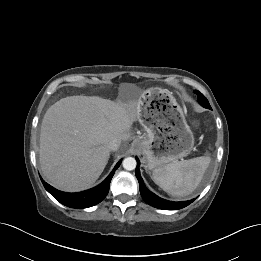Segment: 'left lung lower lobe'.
Returning <instances> with one entry per match:
<instances>
[{
  "label": "left lung lower lobe",
  "mask_w": 261,
  "mask_h": 261,
  "mask_svg": "<svg viewBox=\"0 0 261 261\" xmlns=\"http://www.w3.org/2000/svg\"><path fill=\"white\" fill-rule=\"evenodd\" d=\"M136 160H137L136 177L139 181V189H140L141 196L147 204L155 208L164 209V210H178L188 206L190 203H192L195 200L192 199L183 202H172V201L164 200L158 197L157 195H155L154 193H152L151 191H149L145 187L143 183V179L141 178L140 175V170H139L140 161L138 160V158H136Z\"/></svg>",
  "instance_id": "0a47b994"
}]
</instances>
